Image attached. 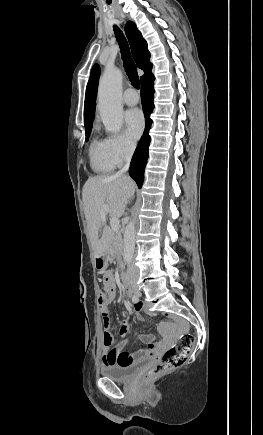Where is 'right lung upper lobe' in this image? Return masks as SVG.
Masks as SVG:
<instances>
[{
  "mask_svg": "<svg viewBox=\"0 0 263 435\" xmlns=\"http://www.w3.org/2000/svg\"><path fill=\"white\" fill-rule=\"evenodd\" d=\"M125 32L130 43L133 58L137 66L144 71V75L140 78V80L143 81L147 76L152 74V63L150 62V52L147 49V42L144 40L142 34L132 21L127 22L125 26ZM99 76L100 68L97 64H95L86 89L84 105L85 131L91 130L92 128V122L95 115V101L97 96Z\"/></svg>",
  "mask_w": 263,
  "mask_h": 435,
  "instance_id": "obj_1",
  "label": "right lung upper lobe"
}]
</instances>
